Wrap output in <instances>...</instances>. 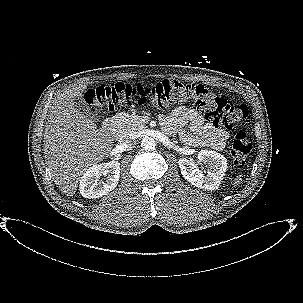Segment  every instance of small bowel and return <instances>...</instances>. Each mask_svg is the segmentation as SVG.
<instances>
[{"mask_svg":"<svg viewBox=\"0 0 303 303\" xmlns=\"http://www.w3.org/2000/svg\"><path fill=\"white\" fill-rule=\"evenodd\" d=\"M160 121L168 134L178 133L182 142L190 146L223 150L229 137L226 130L206 122L197 110L185 106L175 108L169 115L160 117ZM186 125L190 126L191 132L184 130Z\"/></svg>","mask_w":303,"mask_h":303,"instance_id":"c3829d8e","label":"small bowel"}]
</instances>
